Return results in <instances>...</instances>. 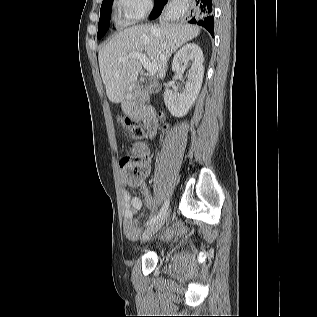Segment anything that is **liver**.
<instances>
[{
    "label": "liver",
    "mask_w": 317,
    "mask_h": 317,
    "mask_svg": "<svg viewBox=\"0 0 317 317\" xmlns=\"http://www.w3.org/2000/svg\"><path fill=\"white\" fill-rule=\"evenodd\" d=\"M199 33L200 28L194 25L163 22L160 25L132 26L116 34L98 54L108 99L112 103L123 102L142 69L137 59L120 61L119 58L130 52L145 51L149 59L157 64L158 77L163 79L172 53Z\"/></svg>",
    "instance_id": "liver-1"
}]
</instances>
